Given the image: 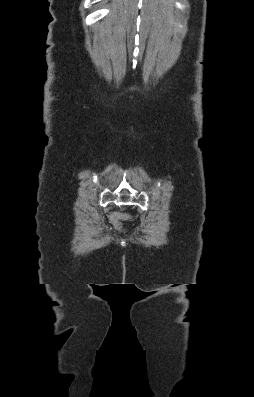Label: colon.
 Masks as SVG:
<instances>
[{"mask_svg":"<svg viewBox=\"0 0 254 397\" xmlns=\"http://www.w3.org/2000/svg\"><path fill=\"white\" fill-rule=\"evenodd\" d=\"M127 214L116 213L112 216V223L116 228L122 227V221L127 218Z\"/></svg>","mask_w":254,"mask_h":397,"instance_id":"1","label":"colon"}]
</instances>
